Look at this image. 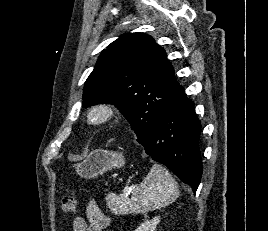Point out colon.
<instances>
[{"mask_svg": "<svg viewBox=\"0 0 268 231\" xmlns=\"http://www.w3.org/2000/svg\"><path fill=\"white\" fill-rule=\"evenodd\" d=\"M61 208L65 213H75L77 210V199L71 195H63L61 198Z\"/></svg>", "mask_w": 268, "mask_h": 231, "instance_id": "1", "label": "colon"}]
</instances>
